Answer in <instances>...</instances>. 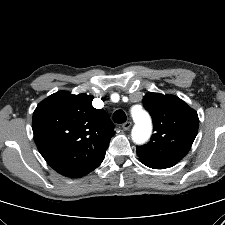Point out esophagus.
Here are the masks:
<instances>
[{
	"label": "esophagus",
	"instance_id": "esophagus-1",
	"mask_svg": "<svg viewBox=\"0 0 225 225\" xmlns=\"http://www.w3.org/2000/svg\"><path fill=\"white\" fill-rule=\"evenodd\" d=\"M131 126H132V123L131 122H125V123H123L122 124V128H123V130H129L130 128H131Z\"/></svg>",
	"mask_w": 225,
	"mask_h": 225
}]
</instances>
